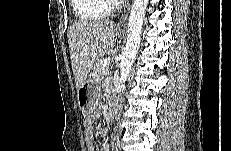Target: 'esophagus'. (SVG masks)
Segmentation results:
<instances>
[{
  "instance_id": "1",
  "label": "esophagus",
  "mask_w": 231,
  "mask_h": 151,
  "mask_svg": "<svg viewBox=\"0 0 231 151\" xmlns=\"http://www.w3.org/2000/svg\"><path fill=\"white\" fill-rule=\"evenodd\" d=\"M130 10V5L128 6L127 10L124 12V14L122 15L121 19L119 20L118 24H117V28H122L126 22V19L128 17V13Z\"/></svg>"
}]
</instances>
